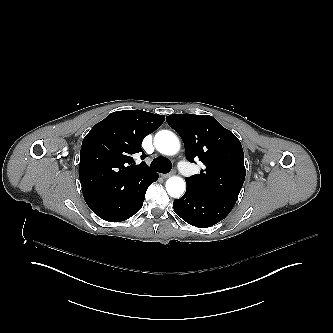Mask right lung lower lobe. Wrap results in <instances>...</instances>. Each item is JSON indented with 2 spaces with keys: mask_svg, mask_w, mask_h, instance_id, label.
<instances>
[{
  "mask_svg": "<svg viewBox=\"0 0 333 333\" xmlns=\"http://www.w3.org/2000/svg\"><path fill=\"white\" fill-rule=\"evenodd\" d=\"M157 179L158 174L149 170L122 182L91 184L83 196L97 216L109 222H120L141 209L147 188Z\"/></svg>",
  "mask_w": 333,
  "mask_h": 333,
  "instance_id": "right-lung-lower-lobe-1",
  "label": "right lung lower lobe"
}]
</instances>
